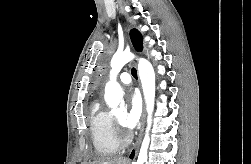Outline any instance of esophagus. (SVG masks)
Here are the masks:
<instances>
[{"mask_svg":"<svg viewBox=\"0 0 251 164\" xmlns=\"http://www.w3.org/2000/svg\"><path fill=\"white\" fill-rule=\"evenodd\" d=\"M144 122H145V109H144V106H143V113H142V117H141L140 132H139V135H138V138H137L135 144L133 145V147L131 148V150H130V152L128 154V157H127L128 162L134 161L136 156H137L138 149H139L140 142H141V138H142V134H143V130H144Z\"/></svg>","mask_w":251,"mask_h":164,"instance_id":"34e87169","label":"esophagus"}]
</instances>
